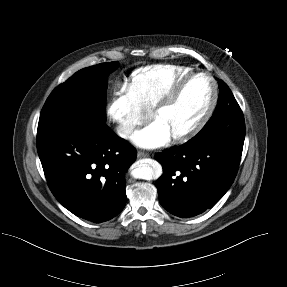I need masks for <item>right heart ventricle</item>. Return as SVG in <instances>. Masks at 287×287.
<instances>
[{"label":"right heart ventricle","mask_w":287,"mask_h":287,"mask_svg":"<svg viewBox=\"0 0 287 287\" xmlns=\"http://www.w3.org/2000/svg\"><path fill=\"white\" fill-rule=\"evenodd\" d=\"M192 72L187 66L162 64L135 70L128 86L144 110L151 109L175 82Z\"/></svg>","instance_id":"1"}]
</instances>
